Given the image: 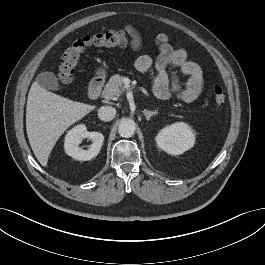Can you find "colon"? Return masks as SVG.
<instances>
[{
	"label": "colon",
	"mask_w": 265,
	"mask_h": 265,
	"mask_svg": "<svg viewBox=\"0 0 265 265\" xmlns=\"http://www.w3.org/2000/svg\"><path fill=\"white\" fill-rule=\"evenodd\" d=\"M131 39L127 32L122 31H102L93 35L84 36L73 42L61 54L59 60V79L62 83H69L79 63L81 55L90 47H119L124 46ZM226 94L221 86H216L213 90V102L220 107L225 103Z\"/></svg>",
	"instance_id": "5ec220e1"
}]
</instances>
